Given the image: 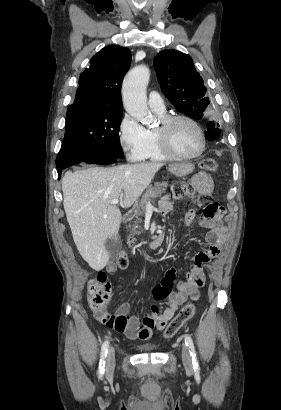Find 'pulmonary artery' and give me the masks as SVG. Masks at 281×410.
I'll return each mask as SVG.
<instances>
[{
	"mask_svg": "<svg viewBox=\"0 0 281 410\" xmlns=\"http://www.w3.org/2000/svg\"><path fill=\"white\" fill-rule=\"evenodd\" d=\"M148 104L153 111L164 112L165 104L160 93L157 91H151L148 97Z\"/></svg>",
	"mask_w": 281,
	"mask_h": 410,
	"instance_id": "e3ab8cb5",
	"label": "pulmonary artery"
}]
</instances>
